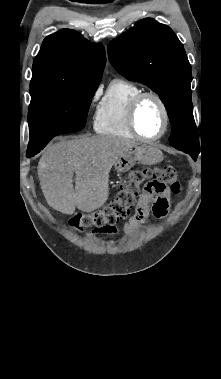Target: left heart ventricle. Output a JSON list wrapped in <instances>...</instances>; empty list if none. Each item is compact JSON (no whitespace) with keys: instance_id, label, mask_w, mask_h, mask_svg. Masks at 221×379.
<instances>
[{"instance_id":"1","label":"left heart ventricle","mask_w":221,"mask_h":379,"mask_svg":"<svg viewBox=\"0 0 221 379\" xmlns=\"http://www.w3.org/2000/svg\"><path fill=\"white\" fill-rule=\"evenodd\" d=\"M136 122L139 131L147 137L160 133L163 127V114L156 100L146 98L142 101L137 111Z\"/></svg>"}]
</instances>
